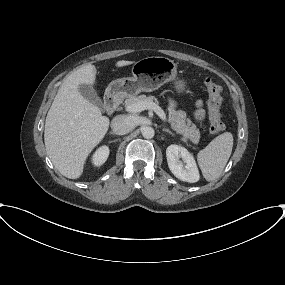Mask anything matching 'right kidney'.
<instances>
[{
	"label": "right kidney",
	"mask_w": 285,
	"mask_h": 285,
	"mask_svg": "<svg viewBox=\"0 0 285 285\" xmlns=\"http://www.w3.org/2000/svg\"><path fill=\"white\" fill-rule=\"evenodd\" d=\"M109 156V148L107 146H101L96 150L93 155L92 162L95 166H101L105 163Z\"/></svg>",
	"instance_id": "ca27d5eb"
}]
</instances>
